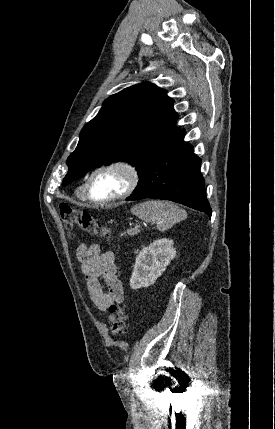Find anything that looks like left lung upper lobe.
<instances>
[{"label":"left lung upper lobe","mask_w":275,"mask_h":429,"mask_svg":"<svg viewBox=\"0 0 275 429\" xmlns=\"http://www.w3.org/2000/svg\"><path fill=\"white\" fill-rule=\"evenodd\" d=\"M177 119L173 100L154 84H136L110 96L82 128L78 145L67 159L69 170L62 185L93 167L118 160L136 166L141 177L155 154L178 132Z\"/></svg>","instance_id":"left-lung-upper-lobe-1"}]
</instances>
